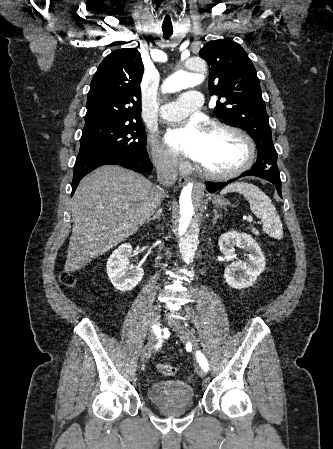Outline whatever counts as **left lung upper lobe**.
Here are the masks:
<instances>
[{
  "label": "left lung upper lobe",
  "mask_w": 333,
  "mask_h": 449,
  "mask_svg": "<svg viewBox=\"0 0 333 449\" xmlns=\"http://www.w3.org/2000/svg\"><path fill=\"white\" fill-rule=\"evenodd\" d=\"M199 55L209 64V91L219 97L213 113L253 138L258 151L253 168L279 173L259 79L247 53L234 41L216 40L208 42Z\"/></svg>",
  "instance_id": "left-lung-upper-lobe-1"
}]
</instances>
